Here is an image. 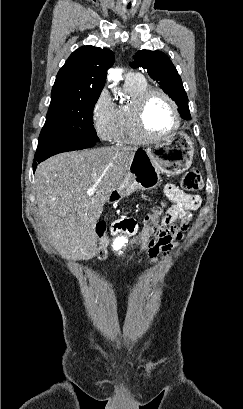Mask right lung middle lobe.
I'll return each instance as SVG.
<instances>
[{"mask_svg": "<svg viewBox=\"0 0 243 409\" xmlns=\"http://www.w3.org/2000/svg\"><path fill=\"white\" fill-rule=\"evenodd\" d=\"M97 100L51 102L39 142L95 141L93 109Z\"/></svg>", "mask_w": 243, "mask_h": 409, "instance_id": "1", "label": "right lung middle lobe"}]
</instances>
